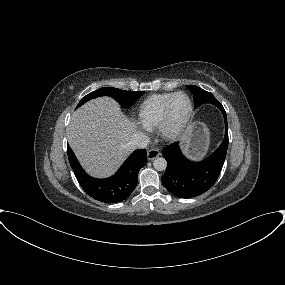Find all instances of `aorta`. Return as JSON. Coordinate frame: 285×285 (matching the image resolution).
I'll use <instances>...</instances> for the list:
<instances>
[{
	"instance_id": "762f6f07",
	"label": "aorta",
	"mask_w": 285,
	"mask_h": 285,
	"mask_svg": "<svg viewBox=\"0 0 285 285\" xmlns=\"http://www.w3.org/2000/svg\"><path fill=\"white\" fill-rule=\"evenodd\" d=\"M153 166L157 171H163L166 169L167 167V161L165 158L163 157H157L154 161H153Z\"/></svg>"
}]
</instances>
